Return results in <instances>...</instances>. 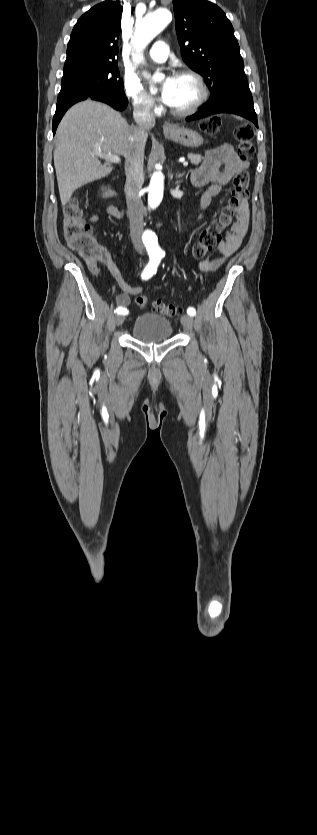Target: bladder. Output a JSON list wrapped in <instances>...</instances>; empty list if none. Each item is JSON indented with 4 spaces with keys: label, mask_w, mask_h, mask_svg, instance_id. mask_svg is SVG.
<instances>
[{
    "label": "bladder",
    "mask_w": 317,
    "mask_h": 835,
    "mask_svg": "<svg viewBox=\"0 0 317 835\" xmlns=\"http://www.w3.org/2000/svg\"><path fill=\"white\" fill-rule=\"evenodd\" d=\"M132 337L144 343L169 340L173 335L171 321L160 314L146 313L137 317L131 328Z\"/></svg>",
    "instance_id": "obj_1"
}]
</instances>
